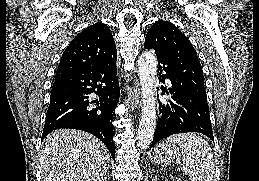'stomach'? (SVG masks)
Returning <instances> with one entry per match:
<instances>
[{
    "label": "stomach",
    "mask_w": 259,
    "mask_h": 181,
    "mask_svg": "<svg viewBox=\"0 0 259 181\" xmlns=\"http://www.w3.org/2000/svg\"><path fill=\"white\" fill-rule=\"evenodd\" d=\"M179 155V147L174 143L163 142L152 151L151 161L166 166L177 160Z\"/></svg>",
    "instance_id": "0dacf381"
}]
</instances>
